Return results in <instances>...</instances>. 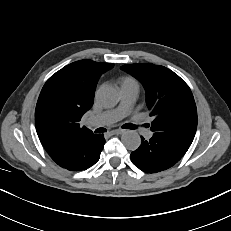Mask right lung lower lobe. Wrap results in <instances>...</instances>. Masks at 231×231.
Returning <instances> with one entry per match:
<instances>
[{"mask_svg": "<svg viewBox=\"0 0 231 231\" xmlns=\"http://www.w3.org/2000/svg\"><path fill=\"white\" fill-rule=\"evenodd\" d=\"M104 144L103 135L91 132L65 140L48 154L59 166L70 171H81L99 160Z\"/></svg>", "mask_w": 231, "mask_h": 231, "instance_id": "98d812e1", "label": "right lung lower lobe"}]
</instances>
